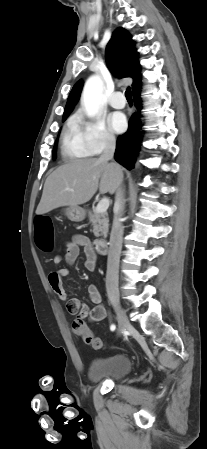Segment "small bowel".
<instances>
[{
    "label": "small bowel",
    "instance_id": "obj_1",
    "mask_svg": "<svg viewBox=\"0 0 207 449\" xmlns=\"http://www.w3.org/2000/svg\"><path fill=\"white\" fill-rule=\"evenodd\" d=\"M65 255L62 257L57 255L53 258V264L60 266L63 261L68 265H73L80 251L83 250L85 260L84 265L87 270L94 271L97 265V254L91 246L90 239L82 234H77L67 241L64 245ZM69 275L68 268H58L50 272L48 282L53 292L66 302L67 312L71 315H76L80 319H89L97 322L106 317V309L101 303V295L98 287L95 284H90L87 288L88 296L94 304L93 308H89L79 299L69 298L68 293L64 287L63 279Z\"/></svg>",
    "mask_w": 207,
    "mask_h": 449
}]
</instances>
